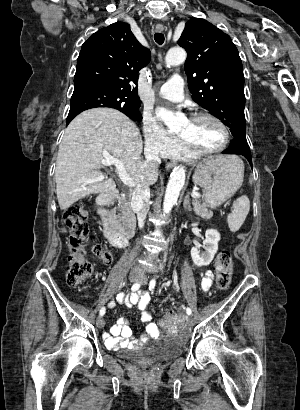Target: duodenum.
Returning <instances> with one entry per match:
<instances>
[{
	"mask_svg": "<svg viewBox=\"0 0 300 410\" xmlns=\"http://www.w3.org/2000/svg\"><path fill=\"white\" fill-rule=\"evenodd\" d=\"M119 193L105 196L97 204L98 214L103 219V235L107 241L115 248L126 247L130 238L117 229L115 209L110 205L111 199L119 198Z\"/></svg>",
	"mask_w": 300,
	"mask_h": 410,
	"instance_id": "duodenum-1",
	"label": "duodenum"
}]
</instances>
